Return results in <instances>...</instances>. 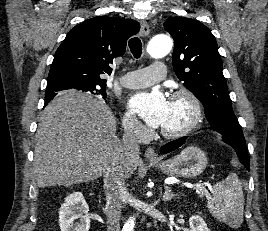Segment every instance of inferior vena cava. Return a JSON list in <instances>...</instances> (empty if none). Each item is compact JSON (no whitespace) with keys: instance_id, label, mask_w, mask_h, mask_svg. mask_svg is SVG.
Segmentation results:
<instances>
[{"instance_id":"obj_1","label":"inferior vena cava","mask_w":268,"mask_h":231,"mask_svg":"<svg viewBox=\"0 0 268 231\" xmlns=\"http://www.w3.org/2000/svg\"><path fill=\"white\" fill-rule=\"evenodd\" d=\"M139 128L130 123L125 128L123 135V146L121 153L130 161H134L139 157L138 146ZM104 189L106 193L105 212L107 216V231H120V217L123 202V194L125 193V169L121 165L119 153L113 156L103 172Z\"/></svg>"}]
</instances>
